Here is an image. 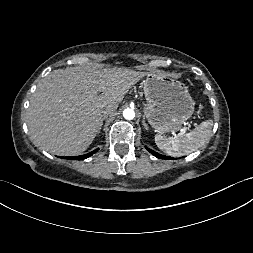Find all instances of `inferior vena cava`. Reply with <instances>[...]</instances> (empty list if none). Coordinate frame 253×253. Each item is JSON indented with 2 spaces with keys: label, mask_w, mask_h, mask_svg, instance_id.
Returning a JSON list of instances; mask_svg holds the SVG:
<instances>
[{
  "label": "inferior vena cava",
  "mask_w": 253,
  "mask_h": 253,
  "mask_svg": "<svg viewBox=\"0 0 253 253\" xmlns=\"http://www.w3.org/2000/svg\"><path fill=\"white\" fill-rule=\"evenodd\" d=\"M116 109H117V106L111 104V105L106 106L103 109L102 113H103L104 116H107V115L113 113Z\"/></svg>",
  "instance_id": "obj_1"
}]
</instances>
